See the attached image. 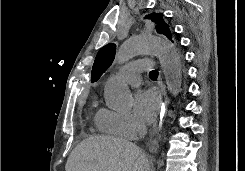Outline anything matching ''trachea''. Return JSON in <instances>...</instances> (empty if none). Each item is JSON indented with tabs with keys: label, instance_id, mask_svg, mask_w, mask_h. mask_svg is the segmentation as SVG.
<instances>
[{
	"label": "trachea",
	"instance_id": "1",
	"mask_svg": "<svg viewBox=\"0 0 245 171\" xmlns=\"http://www.w3.org/2000/svg\"><path fill=\"white\" fill-rule=\"evenodd\" d=\"M158 76V71H156V70H153V71H151L150 73H149V77L150 78H155V77H157Z\"/></svg>",
	"mask_w": 245,
	"mask_h": 171
}]
</instances>
